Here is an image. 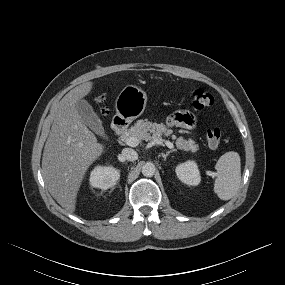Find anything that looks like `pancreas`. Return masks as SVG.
Instances as JSON below:
<instances>
[{
    "label": "pancreas",
    "instance_id": "obj_1",
    "mask_svg": "<svg viewBox=\"0 0 285 285\" xmlns=\"http://www.w3.org/2000/svg\"><path fill=\"white\" fill-rule=\"evenodd\" d=\"M172 130L169 129L165 124L152 123L146 120H138L134 126L129 128L122 134V138L127 139L128 137H137L139 140L145 141H157L162 140V135L170 136ZM176 138V136H172ZM176 145L178 149L184 151L196 152L199 149V146L192 139H184L179 137L176 140Z\"/></svg>",
    "mask_w": 285,
    "mask_h": 285
}]
</instances>
